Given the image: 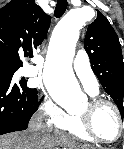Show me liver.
<instances>
[{"instance_id": "obj_1", "label": "liver", "mask_w": 124, "mask_h": 149, "mask_svg": "<svg viewBox=\"0 0 124 149\" xmlns=\"http://www.w3.org/2000/svg\"><path fill=\"white\" fill-rule=\"evenodd\" d=\"M51 145V138L45 133H42L40 137H31L27 131L0 137V149H47ZM82 149L92 148L84 146Z\"/></svg>"}]
</instances>
